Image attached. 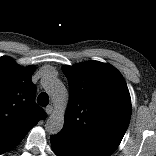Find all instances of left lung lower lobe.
<instances>
[{
	"label": "left lung lower lobe",
	"mask_w": 156,
	"mask_h": 156,
	"mask_svg": "<svg viewBox=\"0 0 156 156\" xmlns=\"http://www.w3.org/2000/svg\"><path fill=\"white\" fill-rule=\"evenodd\" d=\"M51 146L57 156H110L111 154L90 145L77 142L58 133L51 136Z\"/></svg>",
	"instance_id": "left-lung-lower-lobe-1"
}]
</instances>
